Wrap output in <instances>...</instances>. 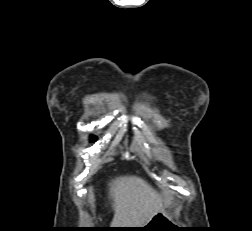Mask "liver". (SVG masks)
I'll list each match as a JSON object with an SVG mask.
<instances>
[{
	"label": "liver",
	"instance_id": "1",
	"mask_svg": "<svg viewBox=\"0 0 252 231\" xmlns=\"http://www.w3.org/2000/svg\"><path fill=\"white\" fill-rule=\"evenodd\" d=\"M113 200V228H139L162 211L163 200L145 180L136 176H121L110 184Z\"/></svg>",
	"mask_w": 252,
	"mask_h": 231
}]
</instances>
